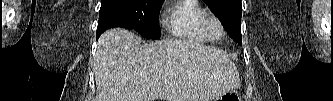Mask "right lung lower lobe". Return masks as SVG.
Masks as SVG:
<instances>
[{
  "mask_svg": "<svg viewBox=\"0 0 333 101\" xmlns=\"http://www.w3.org/2000/svg\"><path fill=\"white\" fill-rule=\"evenodd\" d=\"M113 27L127 28L128 22L124 16L114 7H101L97 27V39L104 31Z\"/></svg>",
  "mask_w": 333,
  "mask_h": 101,
  "instance_id": "right-lung-lower-lobe-1",
  "label": "right lung lower lobe"
}]
</instances>
